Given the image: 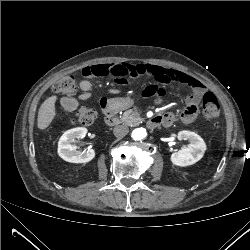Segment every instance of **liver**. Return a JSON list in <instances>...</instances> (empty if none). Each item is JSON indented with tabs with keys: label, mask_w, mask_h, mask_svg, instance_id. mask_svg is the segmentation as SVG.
<instances>
[{
	"label": "liver",
	"mask_w": 250,
	"mask_h": 250,
	"mask_svg": "<svg viewBox=\"0 0 250 250\" xmlns=\"http://www.w3.org/2000/svg\"><path fill=\"white\" fill-rule=\"evenodd\" d=\"M108 91L113 94H118L121 92L119 90H114V89H110ZM91 95H92L91 93H84V94H81L79 98L81 100H87L88 98L91 97ZM71 101H74V100H71ZM55 102H56V97H52L48 99L41 107L39 111V115H38V124H37L40 130L46 129L50 125L54 117L56 116L57 113L54 107Z\"/></svg>",
	"instance_id": "1"
}]
</instances>
